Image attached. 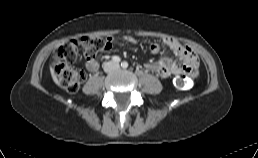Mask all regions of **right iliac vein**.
<instances>
[{"label":"right iliac vein","mask_w":258,"mask_h":158,"mask_svg":"<svg viewBox=\"0 0 258 158\" xmlns=\"http://www.w3.org/2000/svg\"><path fill=\"white\" fill-rule=\"evenodd\" d=\"M106 69L110 70L111 69V65L109 64Z\"/></svg>","instance_id":"right-iliac-vein-1"}]
</instances>
